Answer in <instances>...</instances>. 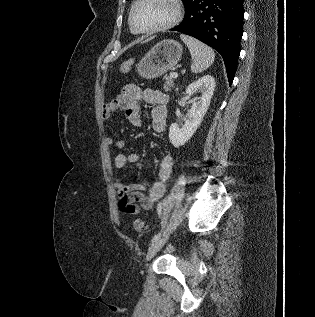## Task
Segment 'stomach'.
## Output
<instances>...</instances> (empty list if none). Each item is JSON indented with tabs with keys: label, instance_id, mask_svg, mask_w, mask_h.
Here are the masks:
<instances>
[{
	"label": "stomach",
	"instance_id": "stomach-1",
	"mask_svg": "<svg viewBox=\"0 0 315 317\" xmlns=\"http://www.w3.org/2000/svg\"><path fill=\"white\" fill-rule=\"evenodd\" d=\"M182 51L181 44L175 40L160 41L137 64L139 76L153 79L163 75L179 62Z\"/></svg>",
	"mask_w": 315,
	"mask_h": 317
}]
</instances>
